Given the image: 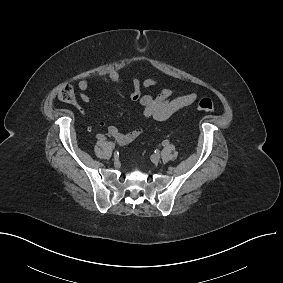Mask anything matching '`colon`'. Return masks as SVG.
<instances>
[{
    "label": "colon",
    "instance_id": "1",
    "mask_svg": "<svg viewBox=\"0 0 283 283\" xmlns=\"http://www.w3.org/2000/svg\"><path fill=\"white\" fill-rule=\"evenodd\" d=\"M58 98L65 103L75 102L76 96L71 85H64L58 91ZM198 109L200 111L212 112L215 109L214 102L209 98H204L199 101Z\"/></svg>",
    "mask_w": 283,
    "mask_h": 283
}]
</instances>
